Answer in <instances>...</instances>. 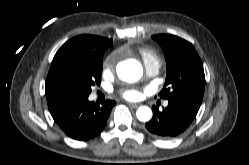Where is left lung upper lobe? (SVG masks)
Listing matches in <instances>:
<instances>
[{
	"mask_svg": "<svg viewBox=\"0 0 249 165\" xmlns=\"http://www.w3.org/2000/svg\"><path fill=\"white\" fill-rule=\"evenodd\" d=\"M162 47L167 63V75L161 99H185L201 104L205 88L202 62L193 45L170 34L152 36Z\"/></svg>",
	"mask_w": 249,
	"mask_h": 165,
	"instance_id": "1",
	"label": "left lung upper lobe"
}]
</instances>
